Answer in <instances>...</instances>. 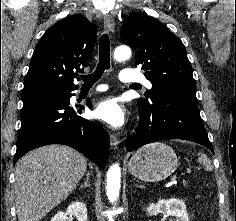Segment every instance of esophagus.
<instances>
[{
  "mask_svg": "<svg viewBox=\"0 0 236 221\" xmlns=\"http://www.w3.org/2000/svg\"><path fill=\"white\" fill-rule=\"evenodd\" d=\"M104 28L107 32L114 33L115 30V22L113 18L110 15H106L104 17ZM120 143V140L117 138V136L113 133L110 134V146L112 149H117L118 145Z\"/></svg>",
  "mask_w": 236,
  "mask_h": 221,
  "instance_id": "1",
  "label": "esophagus"
}]
</instances>
